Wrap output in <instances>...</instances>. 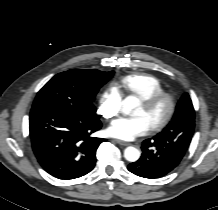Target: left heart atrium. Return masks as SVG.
<instances>
[{
	"instance_id": "left-heart-atrium-1",
	"label": "left heart atrium",
	"mask_w": 218,
	"mask_h": 210,
	"mask_svg": "<svg viewBox=\"0 0 218 210\" xmlns=\"http://www.w3.org/2000/svg\"><path fill=\"white\" fill-rule=\"evenodd\" d=\"M150 126L144 117L119 118L114 120L107 128L109 136L130 141L148 133Z\"/></svg>"
}]
</instances>
